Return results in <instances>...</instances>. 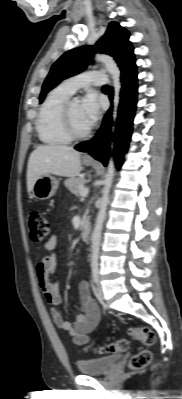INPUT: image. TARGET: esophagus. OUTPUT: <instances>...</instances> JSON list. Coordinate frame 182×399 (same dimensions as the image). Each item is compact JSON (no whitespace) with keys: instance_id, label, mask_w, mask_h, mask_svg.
Returning a JSON list of instances; mask_svg holds the SVG:
<instances>
[{"instance_id":"esophagus-1","label":"esophagus","mask_w":182,"mask_h":399,"mask_svg":"<svg viewBox=\"0 0 182 399\" xmlns=\"http://www.w3.org/2000/svg\"><path fill=\"white\" fill-rule=\"evenodd\" d=\"M84 159H91V155H90L89 153H86V154L84 155Z\"/></svg>"}]
</instances>
